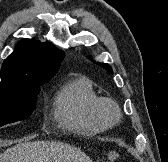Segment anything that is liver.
I'll use <instances>...</instances> for the list:
<instances>
[{"instance_id": "liver-1", "label": "liver", "mask_w": 168, "mask_h": 162, "mask_svg": "<svg viewBox=\"0 0 168 162\" xmlns=\"http://www.w3.org/2000/svg\"><path fill=\"white\" fill-rule=\"evenodd\" d=\"M0 162H92L80 149L56 141L17 144L0 154Z\"/></svg>"}]
</instances>
